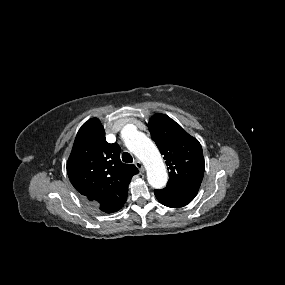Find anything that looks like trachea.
Instances as JSON below:
<instances>
[{
	"instance_id": "1",
	"label": "trachea",
	"mask_w": 285,
	"mask_h": 285,
	"mask_svg": "<svg viewBox=\"0 0 285 285\" xmlns=\"http://www.w3.org/2000/svg\"><path fill=\"white\" fill-rule=\"evenodd\" d=\"M122 160L125 163H132L133 162V157L131 156L130 153L125 152L122 154Z\"/></svg>"
}]
</instances>
